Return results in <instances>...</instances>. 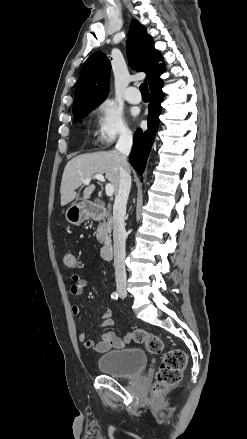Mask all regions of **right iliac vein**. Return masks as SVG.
Returning <instances> with one entry per match:
<instances>
[{
	"label": "right iliac vein",
	"mask_w": 247,
	"mask_h": 439,
	"mask_svg": "<svg viewBox=\"0 0 247 439\" xmlns=\"http://www.w3.org/2000/svg\"><path fill=\"white\" fill-rule=\"evenodd\" d=\"M118 292L122 297H126V295H127V291L125 288H119Z\"/></svg>",
	"instance_id": "obj_1"
}]
</instances>
